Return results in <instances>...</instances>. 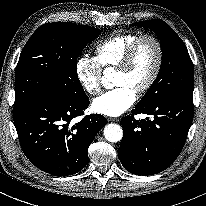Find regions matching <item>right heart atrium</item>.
I'll use <instances>...</instances> for the list:
<instances>
[{
	"mask_svg": "<svg viewBox=\"0 0 206 206\" xmlns=\"http://www.w3.org/2000/svg\"><path fill=\"white\" fill-rule=\"evenodd\" d=\"M77 80L85 93L91 96L97 95L102 86V67L97 58L82 56L77 60Z\"/></svg>",
	"mask_w": 206,
	"mask_h": 206,
	"instance_id": "right-heart-atrium-1",
	"label": "right heart atrium"
}]
</instances>
